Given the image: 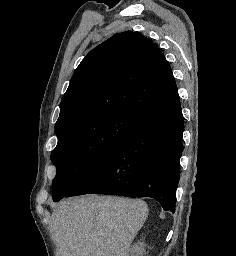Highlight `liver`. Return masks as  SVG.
<instances>
[{
  "mask_svg": "<svg viewBox=\"0 0 236 256\" xmlns=\"http://www.w3.org/2000/svg\"><path fill=\"white\" fill-rule=\"evenodd\" d=\"M147 216L143 200L95 194L63 200L51 216L56 256H128Z\"/></svg>",
  "mask_w": 236,
  "mask_h": 256,
  "instance_id": "liver-1",
  "label": "liver"
}]
</instances>
